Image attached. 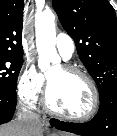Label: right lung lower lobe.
I'll return each instance as SVG.
<instances>
[{
  "label": "right lung lower lobe",
  "instance_id": "1",
  "mask_svg": "<svg viewBox=\"0 0 117 136\" xmlns=\"http://www.w3.org/2000/svg\"><path fill=\"white\" fill-rule=\"evenodd\" d=\"M16 103V93L0 91V125L12 119Z\"/></svg>",
  "mask_w": 117,
  "mask_h": 136
}]
</instances>
